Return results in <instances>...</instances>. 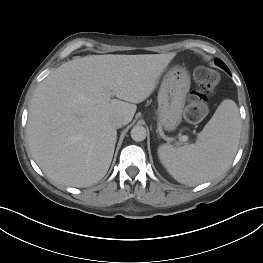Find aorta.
I'll list each match as a JSON object with an SVG mask.
<instances>
[{"mask_svg": "<svg viewBox=\"0 0 263 263\" xmlns=\"http://www.w3.org/2000/svg\"><path fill=\"white\" fill-rule=\"evenodd\" d=\"M130 134H131V138L134 141L140 142V141H143L146 138L147 132H146V129L143 126L135 125L131 129Z\"/></svg>", "mask_w": 263, "mask_h": 263, "instance_id": "762f6f07", "label": "aorta"}]
</instances>
